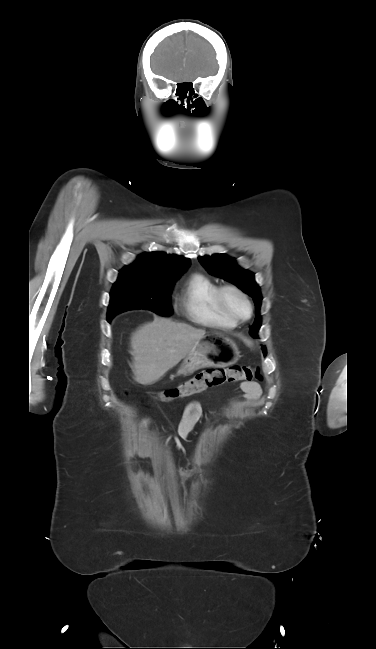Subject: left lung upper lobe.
I'll list each match as a JSON object with an SVG mask.
<instances>
[{
    "label": "left lung upper lobe",
    "instance_id": "5c2ea615",
    "mask_svg": "<svg viewBox=\"0 0 376 649\" xmlns=\"http://www.w3.org/2000/svg\"><path fill=\"white\" fill-rule=\"evenodd\" d=\"M198 260L210 274L235 284L253 298L256 308V318L249 332L252 337L257 338V331L261 326L259 309L262 297L260 289L254 281V274L237 266L234 259L225 254L199 257Z\"/></svg>",
    "mask_w": 376,
    "mask_h": 649
}]
</instances>
